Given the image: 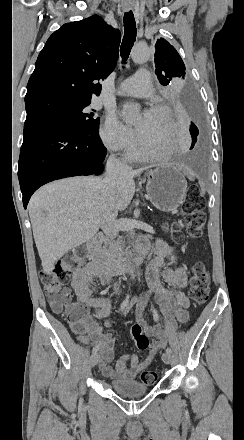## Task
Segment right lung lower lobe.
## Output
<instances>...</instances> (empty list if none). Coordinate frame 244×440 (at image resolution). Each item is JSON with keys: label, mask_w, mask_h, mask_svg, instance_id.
Returning a JSON list of instances; mask_svg holds the SVG:
<instances>
[{"label": "right lung lower lobe", "mask_w": 244, "mask_h": 440, "mask_svg": "<svg viewBox=\"0 0 244 440\" xmlns=\"http://www.w3.org/2000/svg\"><path fill=\"white\" fill-rule=\"evenodd\" d=\"M106 152L98 131L87 133L47 118H26L18 165L24 208L48 182L102 173Z\"/></svg>", "instance_id": "obj_1"}]
</instances>
